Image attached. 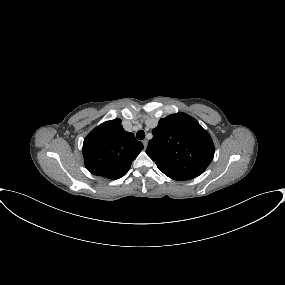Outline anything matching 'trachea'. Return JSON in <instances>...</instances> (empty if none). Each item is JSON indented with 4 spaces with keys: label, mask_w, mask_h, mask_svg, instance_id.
Segmentation results:
<instances>
[{
    "label": "trachea",
    "mask_w": 285,
    "mask_h": 285,
    "mask_svg": "<svg viewBox=\"0 0 285 285\" xmlns=\"http://www.w3.org/2000/svg\"><path fill=\"white\" fill-rule=\"evenodd\" d=\"M137 139L143 140L145 138V132L143 130H139L136 134Z\"/></svg>",
    "instance_id": "3493384b"
}]
</instances>
